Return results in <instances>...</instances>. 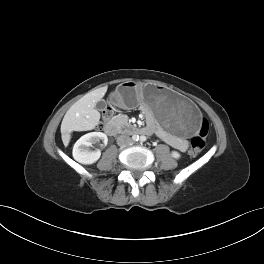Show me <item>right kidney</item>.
<instances>
[{
  "label": "right kidney",
  "mask_w": 264,
  "mask_h": 264,
  "mask_svg": "<svg viewBox=\"0 0 264 264\" xmlns=\"http://www.w3.org/2000/svg\"><path fill=\"white\" fill-rule=\"evenodd\" d=\"M103 141L106 145L108 138L106 134L102 132H91L83 135L73 147V158L79 163L89 165L95 163L101 156L100 150L92 151L90 147L92 144Z\"/></svg>",
  "instance_id": "right-kidney-1"
}]
</instances>
